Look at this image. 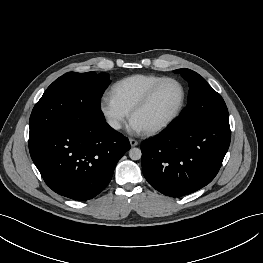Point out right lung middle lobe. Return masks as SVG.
<instances>
[{"mask_svg": "<svg viewBox=\"0 0 263 263\" xmlns=\"http://www.w3.org/2000/svg\"><path fill=\"white\" fill-rule=\"evenodd\" d=\"M107 73L69 72L56 79L34 106L29 138L78 119H101L100 98L109 85Z\"/></svg>", "mask_w": 263, "mask_h": 263, "instance_id": "dd1d6c3e", "label": "right lung middle lobe"}]
</instances>
